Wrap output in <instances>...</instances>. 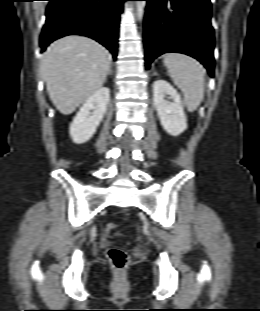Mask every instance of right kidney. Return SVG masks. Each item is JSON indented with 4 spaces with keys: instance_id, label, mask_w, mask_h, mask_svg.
Wrapping results in <instances>:
<instances>
[{
    "instance_id": "obj_1",
    "label": "right kidney",
    "mask_w": 260,
    "mask_h": 311,
    "mask_svg": "<svg viewBox=\"0 0 260 311\" xmlns=\"http://www.w3.org/2000/svg\"><path fill=\"white\" fill-rule=\"evenodd\" d=\"M109 100L108 87L100 88L86 100L70 125L69 133L74 143H85L94 135L106 113Z\"/></svg>"
}]
</instances>
